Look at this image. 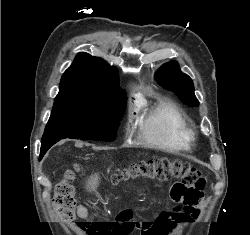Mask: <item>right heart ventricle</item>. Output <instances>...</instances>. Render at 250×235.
<instances>
[{
  "instance_id": "obj_1",
  "label": "right heart ventricle",
  "mask_w": 250,
  "mask_h": 235,
  "mask_svg": "<svg viewBox=\"0 0 250 235\" xmlns=\"http://www.w3.org/2000/svg\"><path fill=\"white\" fill-rule=\"evenodd\" d=\"M139 138L151 147L178 152L190 148L192 132L178 106L161 99L151 106H140Z\"/></svg>"
}]
</instances>
